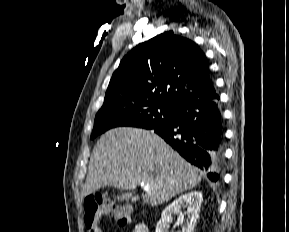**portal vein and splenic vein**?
I'll return each mask as SVG.
<instances>
[{"label":"portal vein and splenic vein","instance_id":"18ae733b","mask_svg":"<svg viewBox=\"0 0 289 232\" xmlns=\"http://www.w3.org/2000/svg\"><path fill=\"white\" fill-rule=\"evenodd\" d=\"M141 187L144 189V191L150 190V186L148 184L141 183Z\"/></svg>","mask_w":289,"mask_h":232}]
</instances>
